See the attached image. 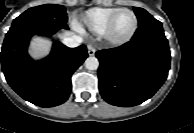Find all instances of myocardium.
<instances>
[{
    "label": "myocardium",
    "instance_id": "myocardium-1",
    "mask_svg": "<svg viewBox=\"0 0 194 133\" xmlns=\"http://www.w3.org/2000/svg\"><path fill=\"white\" fill-rule=\"evenodd\" d=\"M122 12H129L132 14V16L134 17V25H133L131 32L127 36H125L123 38H115L112 36L111 30H112L113 24H114L117 16ZM137 28H138V17L136 15V13L129 8H120L115 13H113L110 16V18L107 20L100 35L107 43H109L111 45H115V46H121V45L128 43L133 38V36L135 35V33L137 31Z\"/></svg>",
    "mask_w": 194,
    "mask_h": 133
}]
</instances>
